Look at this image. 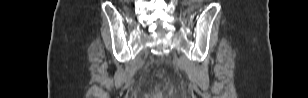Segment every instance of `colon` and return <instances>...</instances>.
<instances>
[{
	"label": "colon",
	"instance_id": "obj_1",
	"mask_svg": "<svg viewBox=\"0 0 308 98\" xmlns=\"http://www.w3.org/2000/svg\"><path fill=\"white\" fill-rule=\"evenodd\" d=\"M158 97H160V96L156 93H153V94H150V95L147 96V98H158Z\"/></svg>",
	"mask_w": 308,
	"mask_h": 98
}]
</instances>
